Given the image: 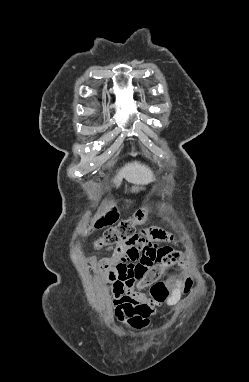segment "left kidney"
<instances>
[{
	"label": "left kidney",
	"instance_id": "obj_1",
	"mask_svg": "<svg viewBox=\"0 0 249 382\" xmlns=\"http://www.w3.org/2000/svg\"><path fill=\"white\" fill-rule=\"evenodd\" d=\"M174 278L176 280L170 281L169 286V294L165 296L163 299V304L167 306V308H172L177 301H182L185 298V291H183L184 281L186 280L183 276H180L179 273H174Z\"/></svg>",
	"mask_w": 249,
	"mask_h": 382
}]
</instances>
